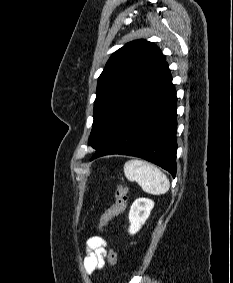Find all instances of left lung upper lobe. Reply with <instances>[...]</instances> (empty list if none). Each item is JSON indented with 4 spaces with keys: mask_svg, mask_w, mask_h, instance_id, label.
I'll use <instances>...</instances> for the list:
<instances>
[{
    "mask_svg": "<svg viewBox=\"0 0 233 283\" xmlns=\"http://www.w3.org/2000/svg\"><path fill=\"white\" fill-rule=\"evenodd\" d=\"M164 63L160 49L146 40L127 43L112 54L98 79L91 147L97 151L104 144Z\"/></svg>",
    "mask_w": 233,
    "mask_h": 283,
    "instance_id": "5c2ea615",
    "label": "left lung upper lobe"
}]
</instances>
